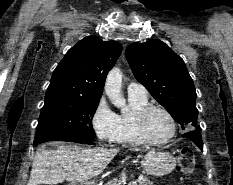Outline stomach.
<instances>
[{
	"instance_id": "stomach-1",
	"label": "stomach",
	"mask_w": 233,
	"mask_h": 185,
	"mask_svg": "<svg viewBox=\"0 0 233 185\" xmlns=\"http://www.w3.org/2000/svg\"><path fill=\"white\" fill-rule=\"evenodd\" d=\"M143 171L155 176H164L172 172L176 166V159L164 151H150L141 159ZM76 185H91L86 182L76 183Z\"/></svg>"
}]
</instances>
